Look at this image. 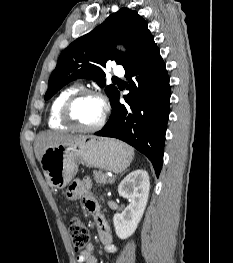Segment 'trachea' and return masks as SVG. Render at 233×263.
Returning a JSON list of instances; mask_svg holds the SVG:
<instances>
[{"mask_svg":"<svg viewBox=\"0 0 233 263\" xmlns=\"http://www.w3.org/2000/svg\"><path fill=\"white\" fill-rule=\"evenodd\" d=\"M112 80L113 81H120L119 78H117V77H113Z\"/></svg>","mask_w":233,"mask_h":263,"instance_id":"1","label":"trachea"}]
</instances>
